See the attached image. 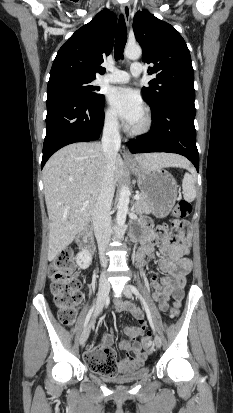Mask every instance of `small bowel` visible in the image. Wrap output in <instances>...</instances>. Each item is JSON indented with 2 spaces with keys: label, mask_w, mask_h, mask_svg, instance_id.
<instances>
[{
  "label": "small bowel",
  "mask_w": 233,
  "mask_h": 413,
  "mask_svg": "<svg viewBox=\"0 0 233 413\" xmlns=\"http://www.w3.org/2000/svg\"><path fill=\"white\" fill-rule=\"evenodd\" d=\"M182 223L185 229H179L176 234H173L168 225L152 228L150 222H143L145 234L137 252L138 263L142 265L155 256H160L158 266L166 276L160 277L154 273L151 276L150 284L155 291L153 299L161 311L168 309L171 297H173L174 303L180 304L186 276L191 270V261L186 257L189 253L191 232L188 223L183 221ZM115 309L119 312H129L138 321V326L124 328L129 340H122L119 345L128 351V354L124 359H117L118 369L124 370L128 367L141 365L146 359V351L138 340L147 328L144 315L139 307L128 301L117 300ZM113 341L112 332L103 334L101 343L98 346H90L85 353V358L96 356L100 349H111Z\"/></svg>",
  "instance_id": "small-bowel-1"
}]
</instances>
